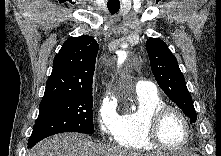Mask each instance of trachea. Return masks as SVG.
Instances as JSON below:
<instances>
[{
	"label": "trachea",
	"mask_w": 221,
	"mask_h": 156,
	"mask_svg": "<svg viewBox=\"0 0 221 156\" xmlns=\"http://www.w3.org/2000/svg\"><path fill=\"white\" fill-rule=\"evenodd\" d=\"M107 7L112 14H115L120 9V2L118 0H109Z\"/></svg>",
	"instance_id": "3493384b"
}]
</instances>
